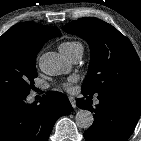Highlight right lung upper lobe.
<instances>
[{"instance_id": "1", "label": "right lung upper lobe", "mask_w": 141, "mask_h": 141, "mask_svg": "<svg viewBox=\"0 0 141 141\" xmlns=\"http://www.w3.org/2000/svg\"><path fill=\"white\" fill-rule=\"evenodd\" d=\"M60 35L61 32L55 27L25 22L14 25L0 36V44L20 42L40 50L45 42Z\"/></svg>"}]
</instances>
